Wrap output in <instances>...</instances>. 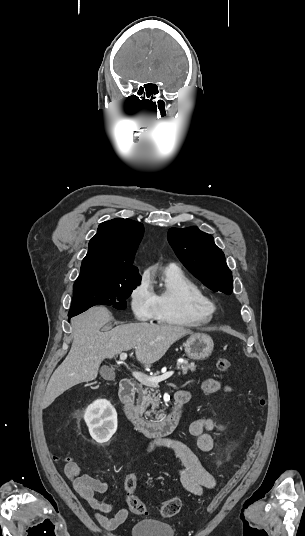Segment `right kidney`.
Returning a JSON list of instances; mask_svg holds the SVG:
<instances>
[{
  "label": "right kidney",
  "instance_id": "obj_1",
  "mask_svg": "<svg viewBox=\"0 0 305 536\" xmlns=\"http://www.w3.org/2000/svg\"><path fill=\"white\" fill-rule=\"evenodd\" d=\"M84 420L90 436L98 444H104L112 438L117 430V412L107 400H98L87 408Z\"/></svg>",
  "mask_w": 305,
  "mask_h": 536
}]
</instances>
